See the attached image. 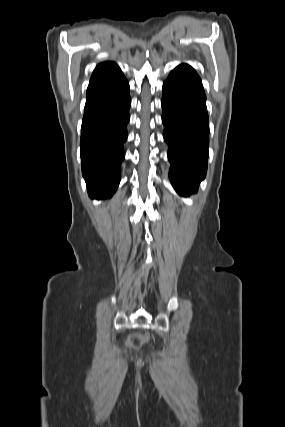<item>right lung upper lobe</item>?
Returning <instances> with one entry per match:
<instances>
[{"label": "right lung upper lobe", "mask_w": 285, "mask_h": 427, "mask_svg": "<svg viewBox=\"0 0 285 427\" xmlns=\"http://www.w3.org/2000/svg\"><path fill=\"white\" fill-rule=\"evenodd\" d=\"M117 64H115L114 62H103L100 63L94 70L93 74H92V78H96L102 75H105L111 71H113L115 68H117Z\"/></svg>", "instance_id": "right-lung-upper-lobe-1"}]
</instances>
